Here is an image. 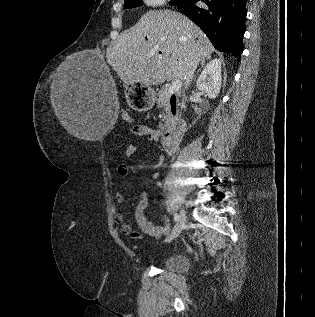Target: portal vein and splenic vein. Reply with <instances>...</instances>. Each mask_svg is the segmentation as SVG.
I'll return each instance as SVG.
<instances>
[{"mask_svg":"<svg viewBox=\"0 0 315 317\" xmlns=\"http://www.w3.org/2000/svg\"><path fill=\"white\" fill-rule=\"evenodd\" d=\"M180 85H181V82L179 80L173 81V83L170 85V87L168 89V93L169 94L174 93L175 91H177L179 89Z\"/></svg>","mask_w":315,"mask_h":317,"instance_id":"portal-vein-and-splenic-vein-1","label":"portal vein and splenic vein"}]
</instances>
